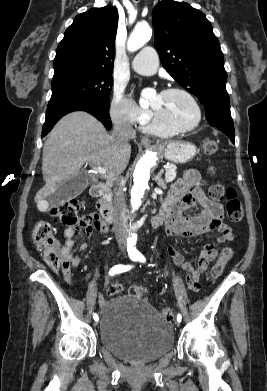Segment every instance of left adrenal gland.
Wrapping results in <instances>:
<instances>
[{
    "label": "left adrenal gland",
    "mask_w": 267,
    "mask_h": 391,
    "mask_svg": "<svg viewBox=\"0 0 267 391\" xmlns=\"http://www.w3.org/2000/svg\"><path fill=\"white\" fill-rule=\"evenodd\" d=\"M162 174H163V169L160 170V172L157 174V176L155 177V181H156V183L158 184V186L164 188V187H165V182H164V180L161 178Z\"/></svg>",
    "instance_id": "a2214340"
}]
</instances>
